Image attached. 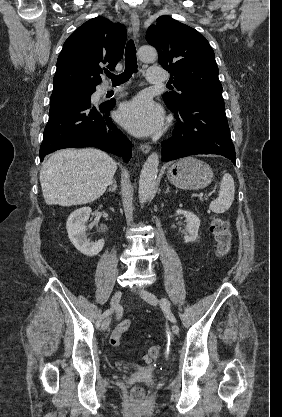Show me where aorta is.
<instances>
[{
    "label": "aorta",
    "mask_w": 282,
    "mask_h": 417,
    "mask_svg": "<svg viewBox=\"0 0 282 417\" xmlns=\"http://www.w3.org/2000/svg\"><path fill=\"white\" fill-rule=\"evenodd\" d=\"M137 54L140 56V60H155L158 56V52L153 46H140ZM158 166L159 154H157V152H152L147 160H145L139 178L138 194L140 202H147L151 190H153L155 186Z\"/></svg>",
    "instance_id": "762f6f07"
}]
</instances>
